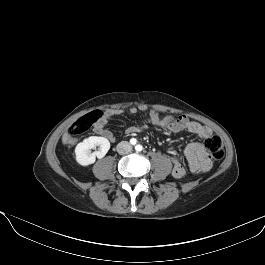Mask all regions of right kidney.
Returning <instances> with one entry per match:
<instances>
[{"mask_svg": "<svg viewBox=\"0 0 265 265\" xmlns=\"http://www.w3.org/2000/svg\"><path fill=\"white\" fill-rule=\"evenodd\" d=\"M99 150L91 153V149ZM110 149V142L104 137L91 136L76 146L75 159L81 166H88L96 161V157L103 158Z\"/></svg>", "mask_w": 265, "mask_h": 265, "instance_id": "1", "label": "right kidney"}]
</instances>
